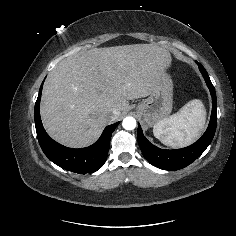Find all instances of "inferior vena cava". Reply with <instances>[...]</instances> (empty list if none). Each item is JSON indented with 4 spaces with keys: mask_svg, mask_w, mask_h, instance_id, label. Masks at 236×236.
<instances>
[{
    "mask_svg": "<svg viewBox=\"0 0 236 236\" xmlns=\"http://www.w3.org/2000/svg\"><path fill=\"white\" fill-rule=\"evenodd\" d=\"M116 113H117V110L113 109L111 115H114V114H116Z\"/></svg>",
    "mask_w": 236,
    "mask_h": 236,
    "instance_id": "obj_1",
    "label": "inferior vena cava"
}]
</instances>
